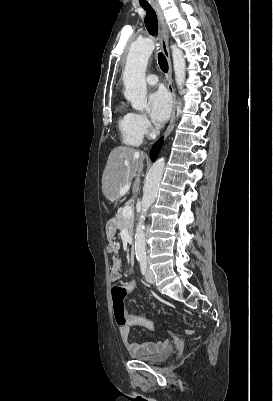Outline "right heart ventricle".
<instances>
[{
	"label": "right heart ventricle",
	"instance_id": "e07e8e85",
	"mask_svg": "<svg viewBox=\"0 0 273 401\" xmlns=\"http://www.w3.org/2000/svg\"><path fill=\"white\" fill-rule=\"evenodd\" d=\"M119 113L118 128L121 132L123 142L130 146H138L142 142V137L136 132L132 113L125 109L123 103L117 107Z\"/></svg>",
	"mask_w": 273,
	"mask_h": 401
}]
</instances>
